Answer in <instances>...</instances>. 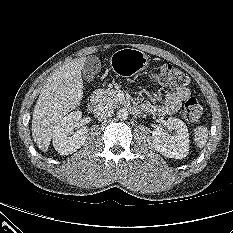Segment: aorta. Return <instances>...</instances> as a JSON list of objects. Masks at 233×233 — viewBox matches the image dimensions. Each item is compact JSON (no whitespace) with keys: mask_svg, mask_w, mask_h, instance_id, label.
Here are the masks:
<instances>
[{"mask_svg":"<svg viewBox=\"0 0 233 233\" xmlns=\"http://www.w3.org/2000/svg\"><path fill=\"white\" fill-rule=\"evenodd\" d=\"M116 117L123 121L128 118V111L125 108H121L116 112Z\"/></svg>","mask_w":233,"mask_h":233,"instance_id":"1","label":"aorta"}]
</instances>
